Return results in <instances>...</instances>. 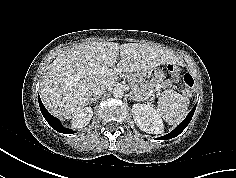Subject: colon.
<instances>
[{"label":"colon","mask_w":236,"mask_h":178,"mask_svg":"<svg viewBox=\"0 0 236 178\" xmlns=\"http://www.w3.org/2000/svg\"><path fill=\"white\" fill-rule=\"evenodd\" d=\"M168 72L173 78L181 81L182 93L186 96H189L194 85L192 76L188 73L183 72L179 66L174 64H170L168 66Z\"/></svg>","instance_id":"obj_1"}]
</instances>
